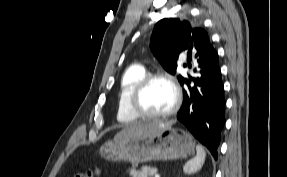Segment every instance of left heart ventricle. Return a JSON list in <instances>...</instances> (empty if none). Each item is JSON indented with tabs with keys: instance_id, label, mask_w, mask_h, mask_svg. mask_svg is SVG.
<instances>
[{
	"instance_id": "obj_1",
	"label": "left heart ventricle",
	"mask_w": 287,
	"mask_h": 177,
	"mask_svg": "<svg viewBox=\"0 0 287 177\" xmlns=\"http://www.w3.org/2000/svg\"><path fill=\"white\" fill-rule=\"evenodd\" d=\"M174 103V93L164 81L156 80L150 83L140 98L141 107L150 113H163Z\"/></svg>"
}]
</instances>
